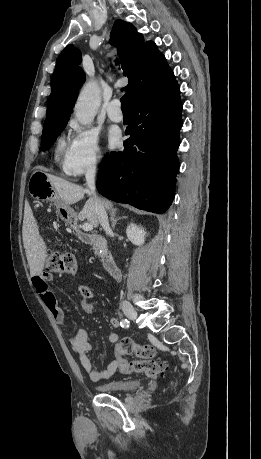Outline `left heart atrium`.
Masks as SVG:
<instances>
[{
	"instance_id": "1",
	"label": "left heart atrium",
	"mask_w": 261,
	"mask_h": 459,
	"mask_svg": "<svg viewBox=\"0 0 261 459\" xmlns=\"http://www.w3.org/2000/svg\"><path fill=\"white\" fill-rule=\"evenodd\" d=\"M120 132L117 129H111L108 133V143L110 147H115L120 142Z\"/></svg>"
}]
</instances>
